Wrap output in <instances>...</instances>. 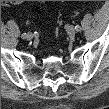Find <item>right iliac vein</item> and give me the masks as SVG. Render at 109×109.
<instances>
[{
  "label": "right iliac vein",
  "mask_w": 109,
  "mask_h": 109,
  "mask_svg": "<svg viewBox=\"0 0 109 109\" xmlns=\"http://www.w3.org/2000/svg\"><path fill=\"white\" fill-rule=\"evenodd\" d=\"M33 37H34V35H33L32 33H30V32L27 33L26 36H25V38H26L27 40H32Z\"/></svg>",
  "instance_id": "1"
}]
</instances>
